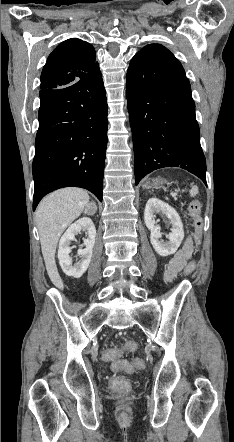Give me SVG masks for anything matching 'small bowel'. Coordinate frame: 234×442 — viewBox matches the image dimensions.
<instances>
[{"instance_id":"1","label":"small bowel","mask_w":234,"mask_h":442,"mask_svg":"<svg viewBox=\"0 0 234 442\" xmlns=\"http://www.w3.org/2000/svg\"><path fill=\"white\" fill-rule=\"evenodd\" d=\"M190 252H191L190 245L186 244L181 250H179L176 253V255L168 264L165 273L166 281H171L179 271L185 268L186 263H188Z\"/></svg>"}]
</instances>
